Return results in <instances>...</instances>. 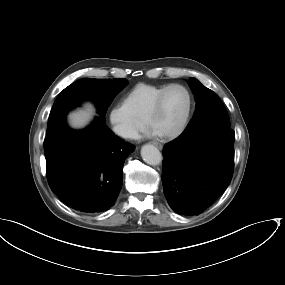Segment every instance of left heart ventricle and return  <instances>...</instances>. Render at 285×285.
<instances>
[{
	"label": "left heart ventricle",
	"instance_id": "obj_1",
	"mask_svg": "<svg viewBox=\"0 0 285 285\" xmlns=\"http://www.w3.org/2000/svg\"><path fill=\"white\" fill-rule=\"evenodd\" d=\"M187 107V95L180 87L169 89L164 97L161 110L152 119L156 132L167 133L174 130L182 119Z\"/></svg>",
	"mask_w": 285,
	"mask_h": 285
}]
</instances>
